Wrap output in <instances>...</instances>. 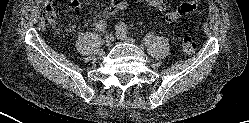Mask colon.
<instances>
[{"label":"colon","mask_w":249,"mask_h":123,"mask_svg":"<svg viewBox=\"0 0 249 123\" xmlns=\"http://www.w3.org/2000/svg\"><path fill=\"white\" fill-rule=\"evenodd\" d=\"M181 48L186 55L193 54L196 50L195 40L191 36H184L181 41Z\"/></svg>","instance_id":"1"}]
</instances>
